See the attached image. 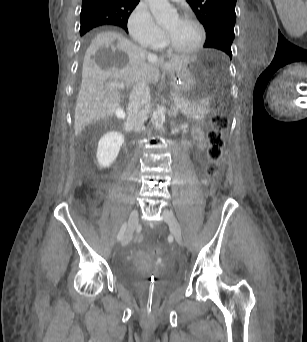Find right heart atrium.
<instances>
[{"label":"right heart atrium","instance_id":"d8ad5b80","mask_svg":"<svg viewBox=\"0 0 307 342\" xmlns=\"http://www.w3.org/2000/svg\"><path fill=\"white\" fill-rule=\"evenodd\" d=\"M131 39L142 47H158L163 42V34L155 25L149 10L136 7L127 20Z\"/></svg>","mask_w":307,"mask_h":342}]
</instances>
